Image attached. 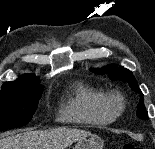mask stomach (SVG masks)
I'll return each instance as SVG.
<instances>
[{
  "instance_id": "stomach-1",
  "label": "stomach",
  "mask_w": 155,
  "mask_h": 149,
  "mask_svg": "<svg viewBox=\"0 0 155 149\" xmlns=\"http://www.w3.org/2000/svg\"><path fill=\"white\" fill-rule=\"evenodd\" d=\"M104 141L98 135L89 134L77 141L73 149H103Z\"/></svg>"
}]
</instances>
